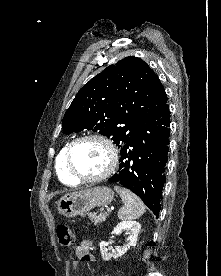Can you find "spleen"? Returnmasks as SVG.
I'll return each instance as SVG.
<instances>
[{
	"label": "spleen",
	"instance_id": "spleen-1",
	"mask_svg": "<svg viewBox=\"0 0 221 276\" xmlns=\"http://www.w3.org/2000/svg\"><path fill=\"white\" fill-rule=\"evenodd\" d=\"M114 190L119 193L124 203L118 211V218L120 220L137 219L145 212V206L141 199L137 197L130 190L115 186Z\"/></svg>",
	"mask_w": 221,
	"mask_h": 276
}]
</instances>
